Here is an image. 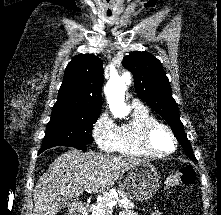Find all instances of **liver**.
I'll return each mask as SVG.
<instances>
[{"instance_id":"liver-1","label":"liver","mask_w":221,"mask_h":215,"mask_svg":"<svg viewBox=\"0 0 221 215\" xmlns=\"http://www.w3.org/2000/svg\"><path fill=\"white\" fill-rule=\"evenodd\" d=\"M140 163L143 161L132 157L69 150L39 178L33 191V215H57L62 198L78 197L84 190L105 192Z\"/></svg>"}]
</instances>
